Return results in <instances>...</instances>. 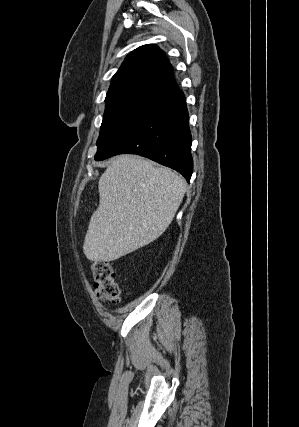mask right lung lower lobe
Returning a JSON list of instances; mask_svg holds the SVG:
<instances>
[{
  "label": "right lung lower lobe",
  "instance_id": "1",
  "mask_svg": "<svg viewBox=\"0 0 299 427\" xmlns=\"http://www.w3.org/2000/svg\"><path fill=\"white\" fill-rule=\"evenodd\" d=\"M188 110L182 91L154 104L95 160L134 153L175 169L189 182L193 172Z\"/></svg>",
  "mask_w": 299,
  "mask_h": 427
}]
</instances>
